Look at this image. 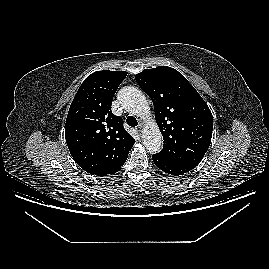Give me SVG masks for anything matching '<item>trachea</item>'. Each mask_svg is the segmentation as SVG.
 Returning a JSON list of instances; mask_svg holds the SVG:
<instances>
[{"label":"trachea","mask_w":269,"mask_h":269,"mask_svg":"<svg viewBox=\"0 0 269 269\" xmlns=\"http://www.w3.org/2000/svg\"><path fill=\"white\" fill-rule=\"evenodd\" d=\"M126 122H127V124H128L129 126H131V127H135V126H137V124H138L136 118L133 117V116H128Z\"/></svg>","instance_id":"obj_1"}]
</instances>
